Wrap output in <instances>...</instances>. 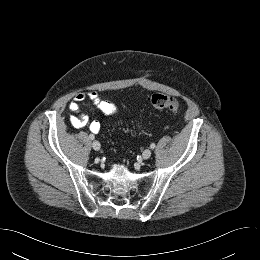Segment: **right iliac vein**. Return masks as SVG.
<instances>
[{
    "instance_id": "63e3f726",
    "label": "right iliac vein",
    "mask_w": 260,
    "mask_h": 260,
    "mask_svg": "<svg viewBox=\"0 0 260 260\" xmlns=\"http://www.w3.org/2000/svg\"><path fill=\"white\" fill-rule=\"evenodd\" d=\"M92 147H93L94 150L99 151L100 148H101V145H100V143L98 141L94 140L92 142Z\"/></svg>"
}]
</instances>
